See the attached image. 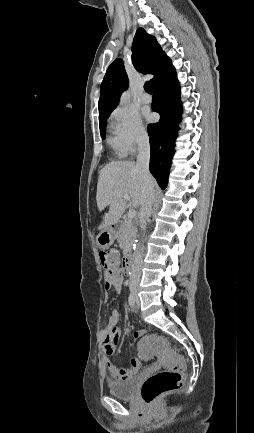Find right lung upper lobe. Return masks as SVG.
Masks as SVG:
<instances>
[{
  "instance_id": "cb5924a9",
  "label": "right lung upper lobe",
  "mask_w": 254,
  "mask_h": 433,
  "mask_svg": "<svg viewBox=\"0 0 254 433\" xmlns=\"http://www.w3.org/2000/svg\"><path fill=\"white\" fill-rule=\"evenodd\" d=\"M132 62L141 73L152 74L153 87L172 69L171 60L162 52L155 37L143 28L136 31L132 46ZM128 87V76L121 59L108 67L100 87L99 123L117 107L121 93Z\"/></svg>"
}]
</instances>
